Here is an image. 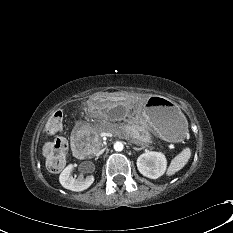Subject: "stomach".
Listing matches in <instances>:
<instances>
[{
	"instance_id": "1",
	"label": "stomach",
	"mask_w": 233,
	"mask_h": 233,
	"mask_svg": "<svg viewBox=\"0 0 233 233\" xmlns=\"http://www.w3.org/2000/svg\"><path fill=\"white\" fill-rule=\"evenodd\" d=\"M135 110L130 98L117 96H94L88 103V111L93 117L128 118ZM142 121L149 130L167 142H179L186 135L188 123L178 105L163 97L152 96L141 113Z\"/></svg>"
}]
</instances>
